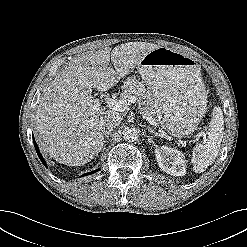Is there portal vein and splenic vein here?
Here are the masks:
<instances>
[{
    "instance_id": "1",
    "label": "portal vein and splenic vein",
    "mask_w": 247,
    "mask_h": 247,
    "mask_svg": "<svg viewBox=\"0 0 247 247\" xmlns=\"http://www.w3.org/2000/svg\"><path fill=\"white\" fill-rule=\"evenodd\" d=\"M136 102V97L135 96H129V97H124L120 100L117 99H113V98H106V104L109 108L118 111V112H124L126 109H128L130 104H133ZM99 102L98 100H96V103L94 105V107H98L99 106ZM144 118L153 126H156L157 123L155 121L154 118H152V116L150 115H144ZM203 138L206 139L205 137V133L202 134Z\"/></svg>"
}]
</instances>
